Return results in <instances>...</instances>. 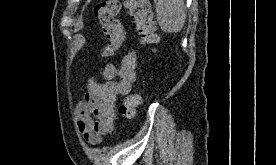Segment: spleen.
<instances>
[{
	"mask_svg": "<svg viewBox=\"0 0 276 165\" xmlns=\"http://www.w3.org/2000/svg\"><path fill=\"white\" fill-rule=\"evenodd\" d=\"M157 21L162 31L180 32L184 26L186 12L183 0H154Z\"/></svg>",
	"mask_w": 276,
	"mask_h": 165,
	"instance_id": "3e777b00",
	"label": "spleen"
}]
</instances>
